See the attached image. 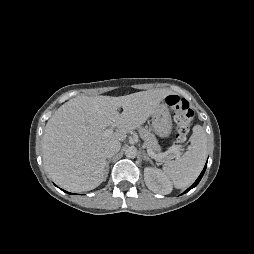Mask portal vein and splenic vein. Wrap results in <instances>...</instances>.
I'll return each mask as SVG.
<instances>
[{
  "mask_svg": "<svg viewBox=\"0 0 254 254\" xmlns=\"http://www.w3.org/2000/svg\"><path fill=\"white\" fill-rule=\"evenodd\" d=\"M112 133H113V129H112V128L107 129V130L104 131V135H105V136H108V135H110V134H112ZM147 152H148V154H149L152 158H154V159H156V160H161V159H163V158L165 157V155H158V154H155V153H154L153 151H151L149 148H147ZM170 152H171V153H175L177 157L180 156V151H179V148H178V147L172 148V149L170 150Z\"/></svg>",
  "mask_w": 254,
  "mask_h": 254,
  "instance_id": "18ae733b",
  "label": "portal vein and splenic vein"
}]
</instances>
